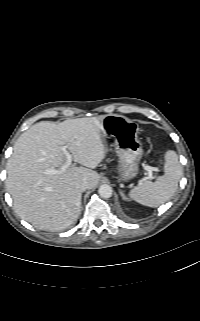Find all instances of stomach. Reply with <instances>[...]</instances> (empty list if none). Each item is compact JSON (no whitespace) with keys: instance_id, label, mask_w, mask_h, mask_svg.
<instances>
[{"instance_id":"obj_1","label":"stomach","mask_w":200,"mask_h":321,"mask_svg":"<svg viewBox=\"0 0 200 321\" xmlns=\"http://www.w3.org/2000/svg\"><path fill=\"white\" fill-rule=\"evenodd\" d=\"M138 131L137 123L122 115L104 117L102 133L114 140L115 152L119 158L116 171L122 182H129L138 174V166L143 153Z\"/></svg>"}]
</instances>
